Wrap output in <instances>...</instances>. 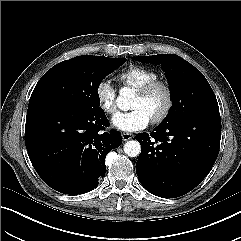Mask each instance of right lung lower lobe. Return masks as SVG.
Instances as JSON below:
<instances>
[{
	"mask_svg": "<svg viewBox=\"0 0 241 241\" xmlns=\"http://www.w3.org/2000/svg\"><path fill=\"white\" fill-rule=\"evenodd\" d=\"M102 109L84 112L65 104L48 103L28 108L25 144L40 178L64 194L93 190L106 173L105 156L121 145L118 131Z\"/></svg>",
	"mask_w": 241,
	"mask_h": 241,
	"instance_id": "98d812e1",
	"label": "right lung lower lobe"
}]
</instances>
